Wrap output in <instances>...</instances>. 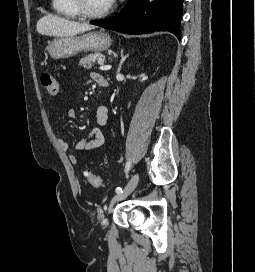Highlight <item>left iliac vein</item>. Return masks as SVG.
<instances>
[{"label":"left iliac vein","instance_id":"obj_1","mask_svg":"<svg viewBox=\"0 0 255 272\" xmlns=\"http://www.w3.org/2000/svg\"><path fill=\"white\" fill-rule=\"evenodd\" d=\"M138 181H139V175L137 173H135L131 177V179L129 180L128 184L123 189V193H116V195L112 198V201H111V204H110V207H109V212H111V209H112V206L114 205V203L124 199L130 193H132V191L136 188V186L138 184Z\"/></svg>","mask_w":255,"mask_h":272}]
</instances>
